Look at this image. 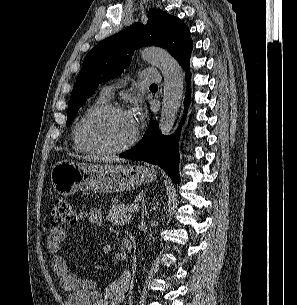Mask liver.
I'll list each match as a JSON object with an SVG mask.
<instances>
[{"label":"liver","instance_id":"obj_1","mask_svg":"<svg viewBox=\"0 0 297 305\" xmlns=\"http://www.w3.org/2000/svg\"><path fill=\"white\" fill-rule=\"evenodd\" d=\"M72 156H74L75 158H77L78 156H76V155H72ZM79 158L80 159H82V160H86V161H91V160H106V161H110L111 159H106V158H99V157H97V156H79ZM113 161H116V162H121V161H123V160H121V159H119V158H115V159H112Z\"/></svg>","mask_w":297,"mask_h":305}]
</instances>
